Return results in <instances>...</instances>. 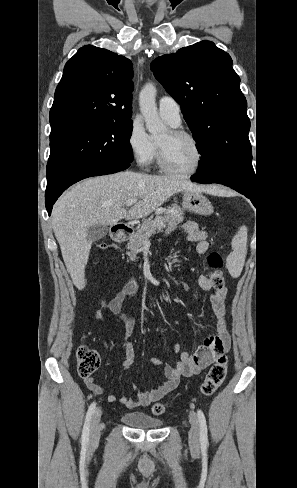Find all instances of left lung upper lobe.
<instances>
[{
    "mask_svg": "<svg viewBox=\"0 0 297 488\" xmlns=\"http://www.w3.org/2000/svg\"><path fill=\"white\" fill-rule=\"evenodd\" d=\"M228 53L201 41L156 58L151 70L181 105L202 155L195 175H234L256 183L248 138L250 120L240 78Z\"/></svg>",
    "mask_w": 297,
    "mask_h": 488,
    "instance_id": "obj_1",
    "label": "left lung upper lobe"
}]
</instances>
